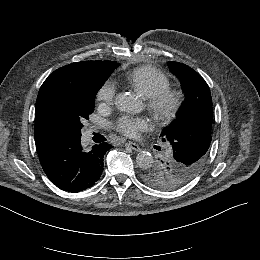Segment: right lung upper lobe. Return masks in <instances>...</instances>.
I'll list each match as a JSON object with an SVG mask.
<instances>
[{"instance_id":"right-lung-upper-lobe-1","label":"right lung upper lobe","mask_w":260,"mask_h":260,"mask_svg":"<svg viewBox=\"0 0 260 260\" xmlns=\"http://www.w3.org/2000/svg\"><path fill=\"white\" fill-rule=\"evenodd\" d=\"M119 66L114 61H82L61 67L48 76L40 87L35 107L34 136L38 155H44L61 138L49 123V111L64 88L73 87L85 79L109 76Z\"/></svg>"}]
</instances>
